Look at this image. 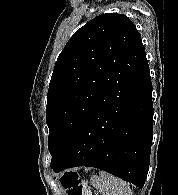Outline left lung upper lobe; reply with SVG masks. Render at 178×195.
<instances>
[{
  "label": "left lung upper lobe",
  "mask_w": 178,
  "mask_h": 195,
  "mask_svg": "<svg viewBox=\"0 0 178 195\" xmlns=\"http://www.w3.org/2000/svg\"><path fill=\"white\" fill-rule=\"evenodd\" d=\"M145 61L141 35L125 15H99L73 34L56 61L47 95L51 167Z\"/></svg>",
  "instance_id": "obj_1"
}]
</instances>
